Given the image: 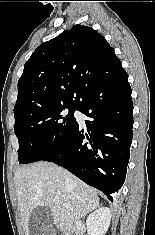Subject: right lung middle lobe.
<instances>
[{
	"label": "right lung middle lobe",
	"instance_id": "dd1d6c3e",
	"mask_svg": "<svg viewBox=\"0 0 155 235\" xmlns=\"http://www.w3.org/2000/svg\"><path fill=\"white\" fill-rule=\"evenodd\" d=\"M75 110L76 104H67L28 111L16 117L14 133L19 141V163L40 161L58 150L78 123Z\"/></svg>",
	"mask_w": 155,
	"mask_h": 235
}]
</instances>
